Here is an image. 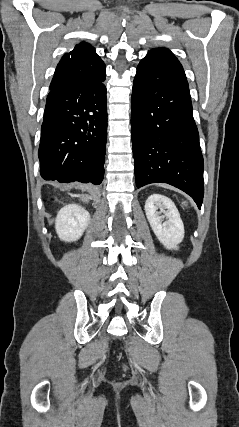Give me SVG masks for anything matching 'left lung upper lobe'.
<instances>
[{"mask_svg": "<svg viewBox=\"0 0 239 427\" xmlns=\"http://www.w3.org/2000/svg\"><path fill=\"white\" fill-rule=\"evenodd\" d=\"M142 61L186 78L182 65L166 48L152 49Z\"/></svg>", "mask_w": 239, "mask_h": 427, "instance_id": "1", "label": "left lung upper lobe"}]
</instances>
